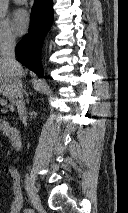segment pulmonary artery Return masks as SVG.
Masks as SVG:
<instances>
[{"label": "pulmonary artery", "mask_w": 128, "mask_h": 213, "mask_svg": "<svg viewBox=\"0 0 128 213\" xmlns=\"http://www.w3.org/2000/svg\"><path fill=\"white\" fill-rule=\"evenodd\" d=\"M17 4H24L26 0H13Z\"/></svg>", "instance_id": "obj_1"}]
</instances>
